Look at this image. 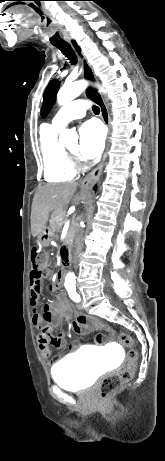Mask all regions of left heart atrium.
Wrapping results in <instances>:
<instances>
[{
    "instance_id": "1",
    "label": "left heart atrium",
    "mask_w": 165,
    "mask_h": 461,
    "mask_svg": "<svg viewBox=\"0 0 165 461\" xmlns=\"http://www.w3.org/2000/svg\"><path fill=\"white\" fill-rule=\"evenodd\" d=\"M105 144V131L96 121H88L79 129V151L85 158L98 156Z\"/></svg>"
}]
</instances>
